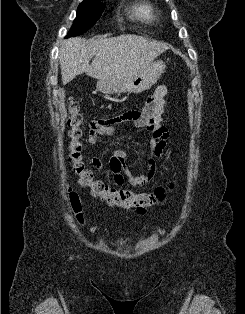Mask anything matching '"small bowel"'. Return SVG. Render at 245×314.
Here are the masks:
<instances>
[{
  "instance_id": "1",
  "label": "small bowel",
  "mask_w": 245,
  "mask_h": 314,
  "mask_svg": "<svg viewBox=\"0 0 245 314\" xmlns=\"http://www.w3.org/2000/svg\"><path fill=\"white\" fill-rule=\"evenodd\" d=\"M167 93V86L164 84L159 85L147 99L142 110L131 111L116 118L91 121L88 133V143L91 145L97 143L99 135L119 132L118 125L126 122H130L133 128L143 129L149 135L148 166L143 173H132L128 166L130 153L124 150L115 151L107 167L98 158L92 159L94 167L106 172L117 186L128 184L132 187H143L154 179L158 169L160 170L164 167V163L161 162L157 169L155 157L163 156L169 137L167 127L162 125V115Z\"/></svg>"
}]
</instances>
